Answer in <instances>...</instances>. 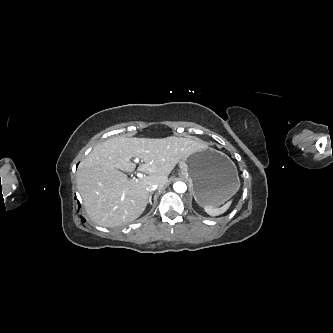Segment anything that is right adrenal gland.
<instances>
[{"mask_svg":"<svg viewBox=\"0 0 333 333\" xmlns=\"http://www.w3.org/2000/svg\"><path fill=\"white\" fill-rule=\"evenodd\" d=\"M148 203H149L150 205H152V193H150V195H149Z\"/></svg>","mask_w":333,"mask_h":333,"instance_id":"right-adrenal-gland-1","label":"right adrenal gland"}]
</instances>
